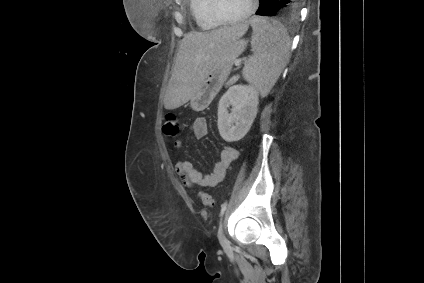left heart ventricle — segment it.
<instances>
[{
	"mask_svg": "<svg viewBox=\"0 0 424 283\" xmlns=\"http://www.w3.org/2000/svg\"><path fill=\"white\" fill-rule=\"evenodd\" d=\"M250 0H218L220 13L226 18H236L247 11Z\"/></svg>",
	"mask_w": 424,
	"mask_h": 283,
	"instance_id": "left-heart-ventricle-1",
	"label": "left heart ventricle"
}]
</instances>
